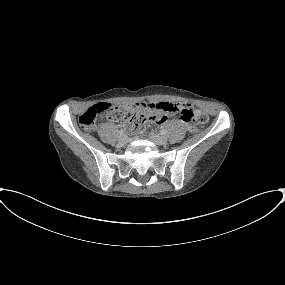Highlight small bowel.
Returning a JSON list of instances; mask_svg holds the SVG:
<instances>
[{"label": "small bowel", "instance_id": "obj_1", "mask_svg": "<svg viewBox=\"0 0 285 285\" xmlns=\"http://www.w3.org/2000/svg\"><path fill=\"white\" fill-rule=\"evenodd\" d=\"M148 105H153L152 111L148 115L141 116L136 123L133 125L134 128L138 130H143L144 122L151 121L155 124L163 125L168 122L169 116L172 115L169 108L173 105L169 101H157L151 102ZM181 126L186 127L189 131L193 132L196 130L192 123H187L183 120H178Z\"/></svg>", "mask_w": 285, "mask_h": 285}]
</instances>
